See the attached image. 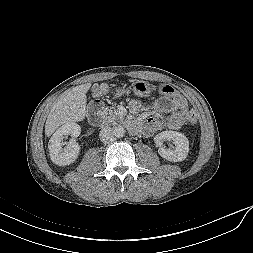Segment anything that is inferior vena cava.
<instances>
[{
    "mask_svg": "<svg viewBox=\"0 0 253 253\" xmlns=\"http://www.w3.org/2000/svg\"><path fill=\"white\" fill-rule=\"evenodd\" d=\"M100 139L103 143H109L114 140V131L111 127H104L99 133Z\"/></svg>",
    "mask_w": 253,
    "mask_h": 253,
    "instance_id": "obj_1",
    "label": "inferior vena cava"
}]
</instances>
